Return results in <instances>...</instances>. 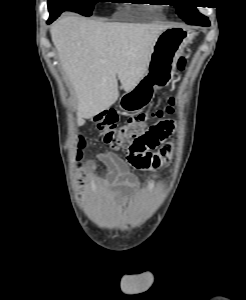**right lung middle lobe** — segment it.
I'll list each match as a JSON object with an SVG mask.
<instances>
[{
  "mask_svg": "<svg viewBox=\"0 0 246 300\" xmlns=\"http://www.w3.org/2000/svg\"><path fill=\"white\" fill-rule=\"evenodd\" d=\"M108 0H48L50 17L58 16L64 11H72L84 16H90L94 4Z\"/></svg>",
  "mask_w": 246,
  "mask_h": 300,
  "instance_id": "obj_1",
  "label": "right lung middle lobe"
}]
</instances>
